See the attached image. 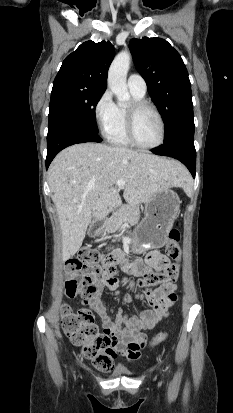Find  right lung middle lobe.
I'll list each match as a JSON object with an SVG mask.
<instances>
[{"label":"right lung middle lobe","instance_id":"dd1d6c3e","mask_svg":"<svg viewBox=\"0 0 233 413\" xmlns=\"http://www.w3.org/2000/svg\"><path fill=\"white\" fill-rule=\"evenodd\" d=\"M103 92L72 84L53 86L48 130L66 124L98 133L95 107Z\"/></svg>","mask_w":233,"mask_h":413}]
</instances>
